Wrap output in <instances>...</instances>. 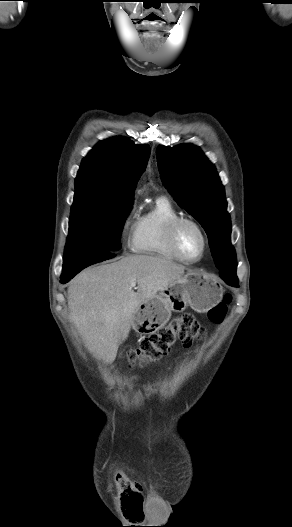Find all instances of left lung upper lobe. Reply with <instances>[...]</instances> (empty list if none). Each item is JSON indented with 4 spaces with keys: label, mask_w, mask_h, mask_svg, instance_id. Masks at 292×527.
<instances>
[{
    "label": "left lung upper lobe",
    "mask_w": 292,
    "mask_h": 527,
    "mask_svg": "<svg viewBox=\"0 0 292 527\" xmlns=\"http://www.w3.org/2000/svg\"><path fill=\"white\" fill-rule=\"evenodd\" d=\"M156 154L163 185L206 231L217 268L223 274L236 275L231 221L224 187L214 165L198 147L190 144L160 145Z\"/></svg>",
    "instance_id": "5c2ea615"
}]
</instances>
